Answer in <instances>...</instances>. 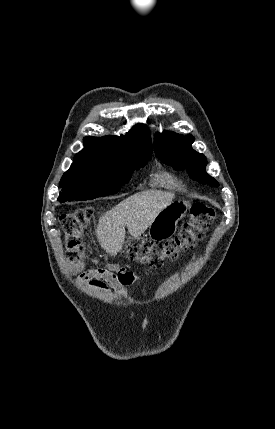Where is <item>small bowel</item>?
I'll list each match as a JSON object with an SVG mask.
<instances>
[{
  "instance_id": "c3829d8e",
  "label": "small bowel",
  "mask_w": 275,
  "mask_h": 429,
  "mask_svg": "<svg viewBox=\"0 0 275 429\" xmlns=\"http://www.w3.org/2000/svg\"><path fill=\"white\" fill-rule=\"evenodd\" d=\"M120 270L123 273L122 278L110 269H91L81 273L77 280L80 284L88 285L94 289L106 291L109 286H112L119 293L127 294L129 286L141 278L134 275L126 267H122Z\"/></svg>"
}]
</instances>
